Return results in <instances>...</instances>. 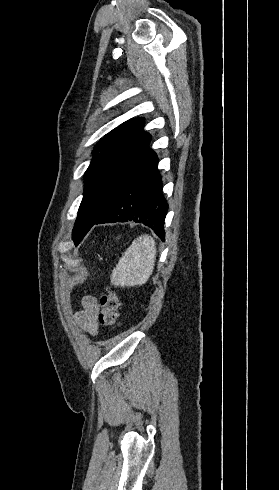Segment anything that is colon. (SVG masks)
Here are the masks:
<instances>
[{"instance_id":"obj_1","label":"colon","mask_w":279,"mask_h":490,"mask_svg":"<svg viewBox=\"0 0 279 490\" xmlns=\"http://www.w3.org/2000/svg\"><path fill=\"white\" fill-rule=\"evenodd\" d=\"M98 321L101 325L114 327L121 322V301L117 293L111 289L105 290L100 296Z\"/></svg>"}]
</instances>
